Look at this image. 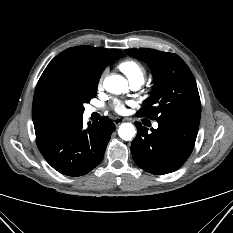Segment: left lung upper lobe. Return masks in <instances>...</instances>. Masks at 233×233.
Returning a JSON list of instances; mask_svg holds the SVG:
<instances>
[{
    "label": "left lung upper lobe",
    "mask_w": 233,
    "mask_h": 233,
    "mask_svg": "<svg viewBox=\"0 0 233 233\" xmlns=\"http://www.w3.org/2000/svg\"><path fill=\"white\" fill-rule=\"evenodd\" d=\"M125 52L146 62L154 76L152 96L138 111V116H146L157 122H200L201 103L196 81L178 55L148 48L126 49Z\"/></svg>",
    "instance_id": "obj_1"
}]
</instances>
